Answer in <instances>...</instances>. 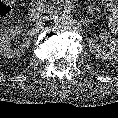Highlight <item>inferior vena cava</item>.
Here are the masks:
<instances>
[{
	"label": "inferior vena cava",
	"mask_w": 118,
	"mask_h": 118,
	"mask_svg": "<svg viewBox=\"0 0 118 118\" xmlns=\"http://www.w3.org/2000/svg\"><path fill=\"white\" fill-rule=\"evenodd\" d=\"M47 20L46 17H40L37 21H36V25L41 26L45 23V21Z\"/></svg>",
	"instance_id": "602c4592"
}]
</instances>
